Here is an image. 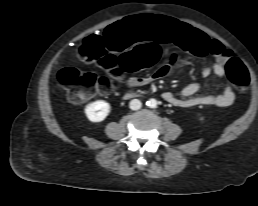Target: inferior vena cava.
Listing matches in <instances>:
<instances>
[{"instance_id": "602c4592", "label": "inferior vena cava", "mask_w": 258, "mask_h": 206, "mask_svg": "<svg viewBox=\"0 0 258 206\" xmlns=\"http://www.w3.org/2000/svg\"><path fill=\"white\" fill-rule=\"evenodd\" d=\"M141 106H142V103L138 99H133L129 103V107H130L131 110H138V109L141 108Z\"/></svg>"}]
</instances>
